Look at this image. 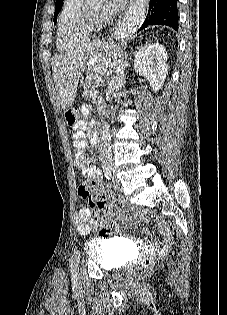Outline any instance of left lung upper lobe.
Listing matches in <instances>:
<instances>
[{
  "label": "left lung upper lobe",
  "mask_w": 227,
  "mask_h": 315,
  "mask_svg": "<svg viewBox=\"0 0 227 315\" xmlns=\"http://www.w3.org/2000/svg\"><path fill=\"white\" fill-rule=\"evenodd\" d=\"M62 5H63V0H56V9H55L54 17L57 16L58 13L60 12ZM54 22H55V18H54Z\"/></svg>",
  "instance_id": "5c2ea615"
}]
</instances>
